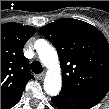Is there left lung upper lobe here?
I'll list each match as a JSON object with an SVG mask.
<instances>
[{"label":"left lung upper lobe","instance_id":"1","mask_svg":"<svg viewBox=\"0 0 109 109\" xmlns=\"http://www.w3.org/2000/svg\"><path fill=\"white\" fill-rule=\"evenodd\" d=\"M55 46L62 89L100 102L109 91V43L93 25L62 18L39 29Z\"/></svg>","mask_w":109,"mask_h":109}]
</instances>
